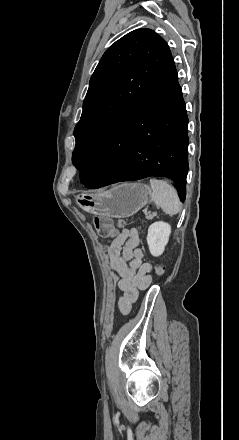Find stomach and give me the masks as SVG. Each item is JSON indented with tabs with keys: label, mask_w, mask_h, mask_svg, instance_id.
<instances>
[{
	"label": "stomach",
	"mask_w": 239,
	"mask_h": 440,
	"mask_svg": "<svg viewBox=\"0 0 239 440\" xmlns=\"http://www.w3.org/2000/svg\"><path fill=\"white\" fill-rule=\"evenodd\" d=\"M151 188L145 184H120L98 194H78L76 202L87 214L129 218L149 202Z\"/></svg>",
	"instance_id": "0dacf381"
}]
</instances>
